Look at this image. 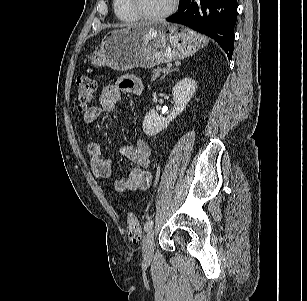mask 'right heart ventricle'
<instances>
[{"mask_svg":"<svg viewBox=\"0 0 307 301\" xmlns=\"http://www.w3.org/2000/svg\"><path fill=\"white\" fill-rule=\"evenodd\" d=\"M113 8L122 22L133 23L138 20V17L131 10L128 0H113Z\"/></svg>","mask_w":307,"mask_h":301,"instance_id":"right-heart-ventricle-1","label":"right heart ventricle"}]
</instances>
